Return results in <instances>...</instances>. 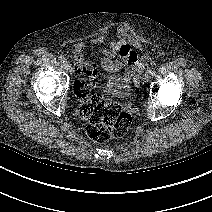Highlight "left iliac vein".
Returning a JSON list of instances; mask_svg holds the SVG:
<instances>
[{
    "mask_svg": "<svg viewBox=\"0 0 212 212\" xmlns=\"http://www.w3.org/2000/svg\"><path fill=\"white\" fill-rule=\"evenodd\" d=\"M149 78H150L149 73H145V74L142 76V84H145L146 82H148Z\"/></svg>",
    "mask_w": 212,
    "mask_h": 212,
    "instance_id": "1",
    "label": "left iliac vein"
}]
</instances>
